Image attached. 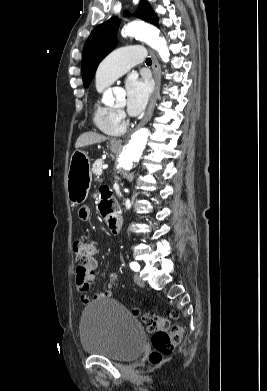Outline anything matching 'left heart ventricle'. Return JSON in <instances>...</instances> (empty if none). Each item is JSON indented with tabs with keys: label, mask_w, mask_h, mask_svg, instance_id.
<instances>
[{
	"label": "left heart ventricle",
	"mask_w": 267,
	"mask_h": 391,
	"mask_svg": "<svg viewBox=\"0 0 267 391\" xmlns=\"http://www.w3.org/2000/svg\"><path fill=\"white\" fill-rule=\"evenodd\" d=\"M124 105V101H121L118 107H122Z\"/></svg>",
	"instance_id": "left-heart-ventricle-1"
}]
</instances>
